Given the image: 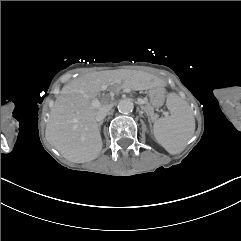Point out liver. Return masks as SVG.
I'll return each mask as SVG.
<instances>
[{
	"mask_svg": "<svg viewBox=\"0 0 241 241\" xmlns=\"http://www.w3.org/2000/svg\"><path fill=\"white\" fill-rule=\"evenodd\" d=\"M133 71H100L78 77L66 84L57 97L47 124L46 140L55 147L65 159L74 163H85L97 158L102 150V139L96 114L106 106L92 105L101 90H118L130 87L144 90L156 86L151 77H133ZM132 81L133 83H130ZM147 83L141 87L137 84Z\"/></svg>",
	"mask_w": 241,
	"mask_h": 241,
	"instance_id": "1",
	"label": "liver"
}]
</instances>
